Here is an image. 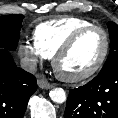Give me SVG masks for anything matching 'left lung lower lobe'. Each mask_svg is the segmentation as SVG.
Wrapping results in <instances>:
<instances>
[{
  "instance_id": "1",
  "label": "left lung lower lobe",
  "mask_w": 118,
  "mask_h": 118,
  "mask_svg": "<svg viewBox=\"0 0 118 118\" xmlns=\"http://www.w3.org/2000/svg\"><path fill=\"white\" fill-rule=\"evenodd\" d=\"M65 118H118V68L99 73L84 86L71 89Z\"/></svg>"
}]
</instances>
